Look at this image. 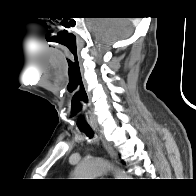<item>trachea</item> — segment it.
I'll return each mask as SVG.
<instances>
[{
	"label": "trachea",
	"instance_id": "1",
	"mask_svg": "<svg viewBox=\"0 0 196 196\" xmlns=\"http://www.w3.org/2000/svg\"><path fill=\"white\" fill-rule=\"evenodd\" d=\"M81 132H84L89 138H93L94 132L91 128H79Z\"/></svg>",
	"mask_w": 196,
	"mask_h": 196
}]
</instances>
